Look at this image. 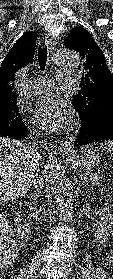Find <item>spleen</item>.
<instances>
[{
    "label": "spleen",
    "mask_w": 113,
    "mask_h": 279,
    "mask_svg": "<svg viewBox=\"0 0 113 279\" xmlns=\"http://www.w3.org/2000/svg\"><path fill=\"white\" fill-rule=\"evenodd\" d=\"M101 146H105L107 148H109L110 150L113 151V142H107V143H104V144H100Z\"/></svg>",
    "instance_id": "spleen-1"
}]
</instances>
